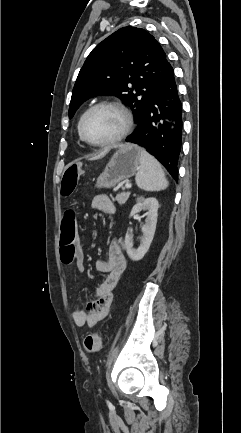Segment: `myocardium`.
<instances>
[{"mask_svg":"<svg viewBox=\"0 0 241 433\" xmlns=\"http://www.w3.org/2000/svg\"><path fill=\"white\" fill-rule=\"evenodd\" d=\"M102 107H108V108H112V109H115L116 111H118L123 118V127L116 136H114L113 138H111L109 140H106L103 142H91L85 137V135L83 133L84 122H85L87 116L91 112H93L94 110H96L98 108H102ZM131 128H132V118H131V115H130L129 111L127 110V108L123 104H121L120 102L112 101V100H103V101H100V102L93 104L82 114L80 121H79V124H78V133H79L81 140L90 146L107 147V146H111V145L117 144L120 141H122L129 134Z\"/></svg>","mask_w":241,"mask_h":433,"instance_id":"1","label":"myocardium"}]
</instances>
